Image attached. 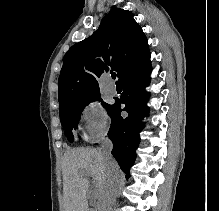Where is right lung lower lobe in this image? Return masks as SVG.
<instances>
[{
  "mask_svg": "<svg viewBox=\"0 0 219 211\" xmlns=\"http://www.w3.org/2000/svg\"><path fill=\"white\" fill-rule=\"evenodd\" d=\"M151 72L150 59L144 64L129 71L121 80L123 87L121 98L112 105L109 115L112 117L108 136L113 142L112 155L129 178V170L135 162L136 149L139 145V132L144 128L140 120L148 115L149 109L145 105L149 93L145 87L149 84ZM121 104H125L122 106ZM128 112L122 117L121 112Z\"/></svg>",
  "mask_w": 219,
  "mask_h": 211,
  "instance_id": "obj_1",
  "label": "right lung lower lobe"
}]
</instances>
